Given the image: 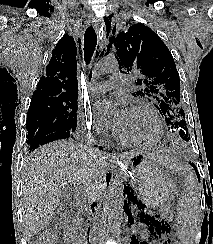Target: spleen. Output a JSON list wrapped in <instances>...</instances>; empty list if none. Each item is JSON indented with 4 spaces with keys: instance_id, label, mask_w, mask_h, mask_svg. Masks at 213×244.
Here are the masks:
<instances>
[{
    "instance_id": "3e777b00",
    "label": "spleen",
    "mask_w": 213,
    "mask_h": 244,
    "mask_svg": "<svg viewBox=\"0 0 213 244\" xmlns=\"http://www.w3.org/2000/svg\"><path fill=\"white\" fill-rule=\"evenodd\" d=\"M178 174H183L185 188L177 201V231L182 244H193L201 225L200 192L195 174L176 159L166 162Z\"/></svg>"
}]
</instances>
